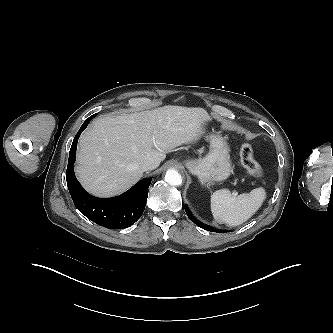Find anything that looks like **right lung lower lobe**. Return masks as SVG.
<instances>
[{"mask_svg":"<svg viewBox=\"0 0 333 333\" xmlns=\"http://www.w3.org/2000/svg\"><path fill=\"white\" fill-rule=\"evenodd\" d=\"M97 114L90 116L76 134L69 153L66 180L76 208L87 218L110 229L127 228L142 215L148 197L151 178L143 179L127 192L113 198H96L89 195L74 174L77 141L82 131Z\"/></svg>","mask_w":333,"mask_h":333,"instance_id":"98d812e1","label":"right lung lower lobe"}]
</instances>
